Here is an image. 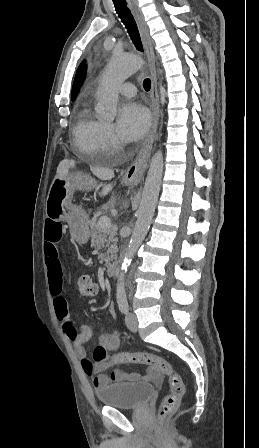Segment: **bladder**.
Masks as SVG:
<instances>
[{
	"instance_id": "bladder-1",
	"label": "bladder",
	"mask_w": 259,
	"mask_h": 448,
	"mask_svg": "<svg viewBox=\"0 0 259 448\" xmlns=\"http://www.w3.org/2000/svg\"><path fill=\"white\" fill-rule=\"evenodd\" d=\"M154 392V386L149 383H116L97 390L96 397L105 406L138 409L152 398Z\"/></svg>"
}]
</instances>
